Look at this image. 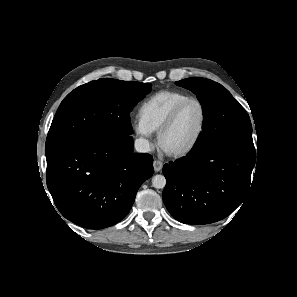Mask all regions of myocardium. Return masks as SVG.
Masks as SVG:
<instances>
[{
	"label": "myocardium",
	"mask_w": 297,
	"mask_h": 297,
	"mask_svg": "<svg viewBox=\"0 0 297 297\" xmlns=\"http://www.w3.org/2000/svg\"><path fill=\"white\" fill-rule=\"evenodd\" d=\"M191 102H195L199 105L201 109V122L200 126L197 130L196 135L192 139V141L183 149L177 150V151H167L162 147V138L163 136L172 128V126L175 124L180 112L183 110V108L188 105ZM207 124V111L202 103V101L196 97H189L185 99L184 101L180 102L170 113V115L167 117V119L164 121V123L161 125V127L157 131V136H156V142L158 147L169 157L172 158H181L186 155H188L190 152L194 150V148L197 146L199 143L205 128Z\"/></svg>",
	"instance_id": "obj_1"
}]
</instances>
